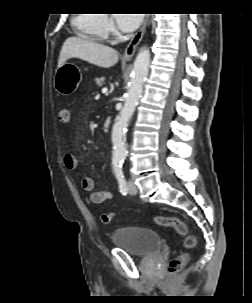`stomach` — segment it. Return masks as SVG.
Returning <instances> with one entry per match:
<instances>
[{
  "mask_svg": "<svg viewBox=\"0 0 252 303\" xmlns=\"http://www.w3.org/2000/svg\"><path fill=\"white\" fill-rule=\"evenodd\" d=\"M81 81V70L73 64L64 63L55 72L54 86L62 95H70L76 91Z\"/></svg>",
  "mask_w": 252,
  "mask_h": 303,
  "instance_id": "1",
  "label": "stomach"
}]
</instances>
